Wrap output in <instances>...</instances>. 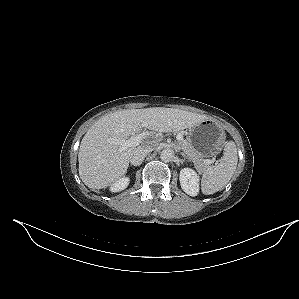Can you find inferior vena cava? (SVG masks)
<instances>
[{
    "mask_svg": "<svg viewBox=\"0 0 299 299\" xmlns=\"http://www.w3.org/2000/svg\"><path fill=\"white\" fill-rule=\"evenodd\" d=\"M152 151L150 147H137L135 148L132 153L130 154L129 161L132 165L138 166L140 165L144 158Z\"/></svg>",
    "mask_w": 299,
    "mask_h": 299,
    "instance_id": "1",
    "label": "inferior vena cava"
}]
</instances>
